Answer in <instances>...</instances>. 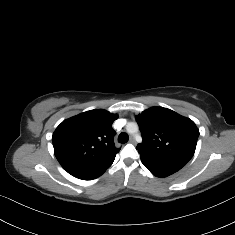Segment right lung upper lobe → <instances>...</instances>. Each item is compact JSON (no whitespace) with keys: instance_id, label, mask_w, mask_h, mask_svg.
<instances>
[{"instance_id":"1","label":"right lung upper lobe","mask_w":235,"mask_h":235,"mask_svg":"<svg viewBox=\"0 0 235 235\" xmlns=\"http://www.w3.org/2000/svg\"><path fill=\"white\" fill-rule=\"evenodd\" d=\"M117 118V114L98 109L64 120L52 136L61 166L70 174L106 171L120 150L113 141L112 123Z\"/></svg>"}]
</instances>
